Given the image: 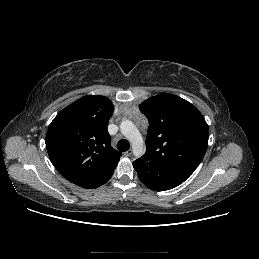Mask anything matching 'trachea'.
I'll list each match as a JSON object with an SVG mask.
<instances>
[{"label":"trachea","instance_id":"3493384b","mask_svg":"<svg viewBox=\"0 0 259 259\" xmlns=\"http://www.w3.org/2000/svg\"><path fill=\"white\" fill-rule=\"evenodd\" d=\"M129 147H130V144H129V142H128L127 140H125V139H121V140H119V142L117 143V149H118L119 151L125 152V151H127V150L129 149Z\"/></svg>","mask_w":259,"mask_h":259}]
</instances>
